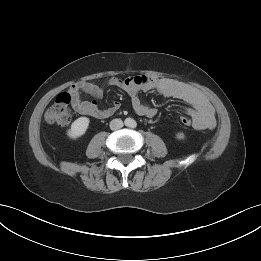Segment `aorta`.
I'll return each mask as SVG.
<instances>
[{
  "label": "aorta",
  "mask_w": 261,
  "mask_h": 261,
  "mask_svg": "<svg viewBox=\"0 0 261 261\" xmlns=\"http://www.w3.org/2000/svg\"><path fill=\"white\" fill-rule=\"evenodd\" d=\"M134 123H135V121L133 119H131V118L126 119L127 126H132Z\"/></svg>",
  "instance_id": "aorta-1"
}]
</instances>
